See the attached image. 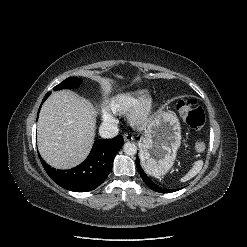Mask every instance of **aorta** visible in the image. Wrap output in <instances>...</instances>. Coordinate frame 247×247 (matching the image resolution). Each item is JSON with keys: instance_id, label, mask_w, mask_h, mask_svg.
<instances>
[{"instance_id": "obj_1", "label": "aorta", "mask_w": 247, "mask_h": 247, "mask_svg": "<svg viewBox=\"0 0 247 247\" xmlns=\"http://www.w3.org/2000/svg\"><path fill=\"white\" fill-rule=\"evenodd\" d=\"M123 151L126 155L133 156L137 152V146L133 142H127L123 146Z\"/></svg>"}]
</instances>
